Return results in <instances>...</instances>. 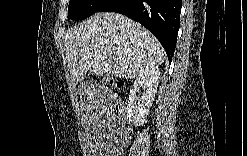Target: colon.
<instances>
[{
	"mask_svg": "<svg viewBox=\"0 0 247 156\" xmlns=\"http://www.w3.org/2000/svg\"><path fill=\"white\" fill-rule=\"evenodd\" d=\"M107 82L114 89H120L123 86V83L115 78H109Z\"/></svg>",
	"mask_w": 247,
	"mask_h": 156,
	"instance_id": "obj_1",
	"label": "colon"
}]
</instances>
